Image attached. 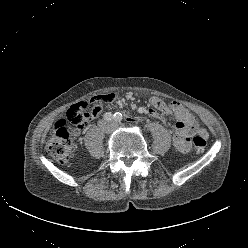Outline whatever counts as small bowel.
<instances>
[{"instance_id": "1", "label": "small bowel", "mask_w": 248, "mask_h": 248, "mask_svg": "<svg viewBox=\"0 0 248 248\" xmlns=\"http://www.w3.org/2000/svg\"><path fill=\"white\" fill-rule=\"evenodd\" d=\"M112 95L114 96L113 102L99 103V110L96 113L95 117L101 113L102 104H112L116 101V96L114 94ZM150 104L153 108L139 107L137 111L140 114H146L153 118H157L161 120L164 124H168V121L164 117V115L168 117L174 115L176 119V132L173 136V145L180 152L184 153L189 151V135L197 131V126L194 117L189 113L186 108H184L181 104L177 102H173L169 107L166 106L160 98L152 97L150 99ZM149 121H152V123H156V120H152V118H149Z\"/></svg>"}]
</instances>
